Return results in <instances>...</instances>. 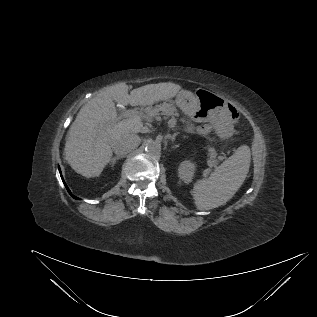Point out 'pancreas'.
Segmentation results:
<instances>
[{"instance_id":"obj_1","label":"pancreas","mask_w":317,"mask_h":317,"mask_svg":"<svg viewBox=\"0 0 317 317\" xmlns=\"http://www.w3.org/2000/svg\"><path fill=\"white\" fill-rule=\"evenodd\" d=\"M161 112V113H160ZM146 117L147 118H155L157 119L160 114H164L167 116H178L177 110L168 103H162L160 105H157L156 107H148L145 109ZM223 157L217 156V153L213 149H209V159H208V165L210 167L216 166L218 164V161L222 159Z\"/></svg>"}]
</instances>
